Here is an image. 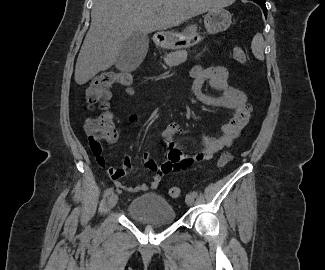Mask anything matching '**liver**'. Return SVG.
I'll return each instance as SVG.
<instances>
[{"label": "liver", "instance_id": "1", "mask_svg": "<svg viewBox=\"0 0 325 270\" xmlns=\"http://www.w3.org/2000/svg\"><path fill=\"white\" fill-rule=\"evenodd\" d=\"M233 0H94L91 26L75 66V81L87 83L115 64L124 42L134 33L166 30ZM185 31L196 32V27Z\"/></svg>", "mask_w": 325, "mask_h": 270}]
</instances>
